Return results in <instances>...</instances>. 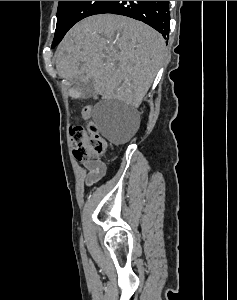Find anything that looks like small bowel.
I'll return each instance as SVG.
<instances>
[{
  "label": "small bowel",
  "instance_id": "small-bowel-1",
  "mask_svg": "<svg viewBox=\"0 0 237 300\" xmlns=\"http://www.w3.org/2000/svg\"><path fill=\"white\" fill-rule=\"evenodd\" d=\"M90 111V114H86L82 112V116L84 119H89L91 115V108L87 107ZM83 167L86 169L85 174V184L87 186H91L94 183L101 180L105 173H106V167L103 162L101 161H95V160H88V161H82Z\"/></svg>",
  "mask_w": 237,
  "mask_h": 300
}]
</instances>
